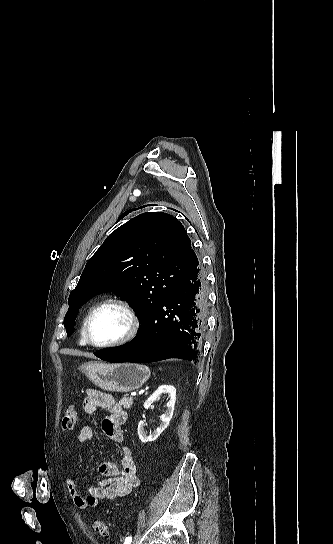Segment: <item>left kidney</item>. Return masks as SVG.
I'll return each instance as SVG.
<instances>
[{
  "label": "left kidney",
  "mask_w": 333,
  "mask_h": 544,
  "mask_svg": "<svg viewBox=\"0 0 333 544\" xmlns=\"http://www.w3.org/2000/svg\"><path fill=\"white\" fill-rule=\"evenodd\" d=\"M169 394V401L167 402V410L161 415V423L152 433L145 430L144 421H140L138 424V435L143 443L155 441L160 434L167 428L170 420L173 416L174 406L176 401V388L172 385L160 386L144 403V408L148 409L162 394Z\"/></svg>",
  "instance_id": "5707ae66"
}]
</instances>
